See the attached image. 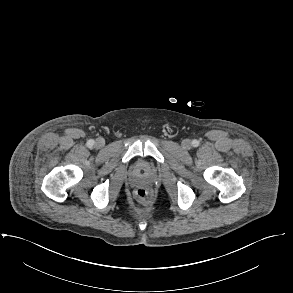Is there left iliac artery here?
<instances>
[{"instance_id": "left-iliac-artery-1", "label": "left iliac artery", "mask_w": 293, "mask_h": 293, "mask_svg": "<svg viewBox=\"0 0 293 293\" xmlns=\"http://www.w3.org/2000/svg\"><path fill=\"white\" fill-rule=\"evenodd\" d=\"M192 145H193L194 147H197V146L199 145V141H197V140H193V141H192Z\"/></svg>"}]
</instances>
